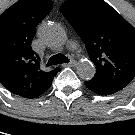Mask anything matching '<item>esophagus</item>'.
Returning <instances> with one entry per match:
<instances>
[{"instance_id":"34e87169","label":"esophagus","mask_w":135,"mask_h":135,"mask_svg":"<svg viewBox=\"0 0 135 135\" xmlns=\"http://www.w3.org/2000/svg\"><path fill=\"white\" fill-rule=\"evenodd\" d=\"M65 66H76L77 65V61L75 60H71L69 63L64 64Z\"/></svg>"}]
</instances>
